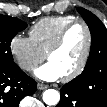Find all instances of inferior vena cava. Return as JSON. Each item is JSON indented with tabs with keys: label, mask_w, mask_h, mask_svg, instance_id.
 I'll return each instance as SVG.
<instances>
[{
	"label": "inferior vena cava",
	"mask_w": 107,
	"mask_h": 107,
	"mask_svg": "<svg viewBox=\"0 0 107 107\" xmlns=\"http://www.w3.org/2000/svg\"><path fill=\"white\" fill-rule=\"evenodd\" d=\"M35 68H36V66L33 65V64H31V65H26V66H25V69L28 70V71L33 70V69H35Z\"/></svg>",
	"instance_id": "inferior-vena-cava-1"
}]
</instances>
